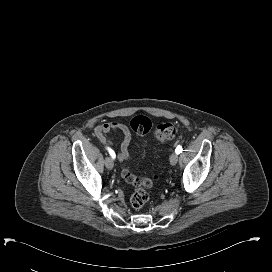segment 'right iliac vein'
<instances>
[{"mask_svg": "<svg viewBox=\"0 0 272 272\" xmlns=\"http://www.w3.org/2000/svg\"><path fill=\"white\" fill-rule=\"evenodd\" d=\"M105 166L107 169H113L114 163L113 160L110 157L105 158Z\"/></svg>", "mask_w": 272, "mask_h": 272, "instance_id": "right-iliac-vein-1", "label": "right iliac vein"}]
</instances>
